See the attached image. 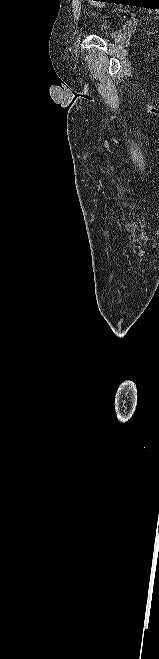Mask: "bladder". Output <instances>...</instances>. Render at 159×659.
Wrapping results in <instances>:
<instances>
[{
  "mask_svg": "<svg viewBox=\"0 0 159 659\" xmlns=\"http://www.w3.org/2000/svg\"><path fill=\"white\" fill-rule=\"evenodd\" d=\"M110 32H111V30L104 29V30H102L101 35H108Z\"/></svg>",
  "mask_w": 159,
  "mask_h": 659,
  "instance_id": "obj_1",
  "label": "bladder"
}]
</instances>
